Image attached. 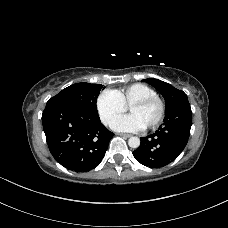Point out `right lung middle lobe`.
I'll list each match as a JSON object with an SVG mask.
<instances>
[{
	"label": "right lung middle lobe",
	"instance_id": "obj_1",
	"mask_svg": "<svg viewBox=\"0 0 228 228\" xmlns=\"http://www.w3.org/2000/svg\"><path fill=\"white\" fill-rule=\"evenodd\" d=\"M102 87L103 85L98 84L76 83L63 89L56 96L52 97L49 102H67L98 114L96 102Z\"/></svg>",
	"mask_w": 228,
	"mask_h": 228
}]
</instances>
